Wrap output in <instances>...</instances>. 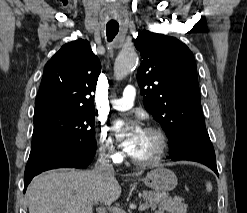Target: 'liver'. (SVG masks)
Instances as JSON below:
<instances>
[{
	"instance_id": "obj_1",
	"label": "liver",
	"mask_w": 247,
	"mask_h": 213,
	"mask_svg": "<svg viewBox=\"0 0 247 213\" xmlns=\"http://www.w3.org/2000/svg\"><path fill=\"white\" fill-rule=\"evenodd\" d=\"M120 195L114 173L102 175L95 169L50 170L32 180L27 202L29 213H93L94 205H110Z\"/></svg>"
}]
</instances>
